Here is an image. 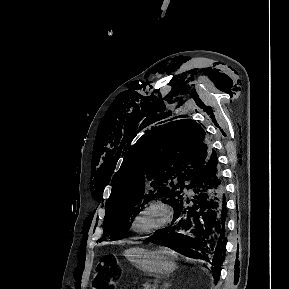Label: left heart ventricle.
I'll list each match as a JSON object with an SVG mask.
<instances>
[{
	"label": "left heart ventricle",
	"instance_id": "left-heart-ventricle-1",
	"mask_svg": "<svg viewBox=\"0 0 289 289\" xmlns=\"http://www.w3.org/2000/svg\"><path fill=\"white\" fill-rule=\"evenodd\" d=\"M163 220L162 211L156 208L145 212L137 222V228L140 230H149L159 225Z\"/></svg>",
	"mask_w": 289,
	"mask_h": 289
}]
</instances>
